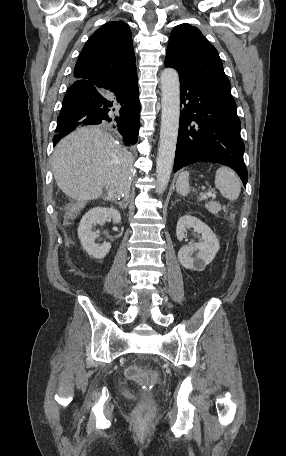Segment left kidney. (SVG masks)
Masks as SVG:
<instances>
[{
	"instance_id": "5707ae66",
	"label": "left kidney",
	"mask_w": 286,
	"mask_h": 456,
	"mask_svg": "<svg viewBox=\"0 0 286 456\" xmlns=\"http://www.w3.org/2000/svg\"><path fill=\"white\" fill-rule=\"evenodd\" d=\"M193 228L202 238L198 243L183 246L178 252V259L186 269L202 271L211 263L218 252L220 245L213 231L200 219L191 215H184L177 223L176 236L182 241L187 229ZM194 250L198 251L196 258L191 257Z\"/></svg>"
}]
</instances>
